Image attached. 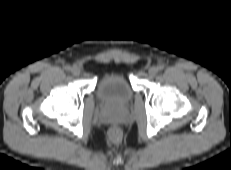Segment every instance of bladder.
I'll list each match as a JSON object with an SVG mask.
<instances>
[{"instance_id":"31cf9c89","label":"bladder","mask_w":231,"mask_h":170,"mask_svg":"<svg viewBox=\"0 0 231 170\" xmlns=\"http://www.w3.org/2000/svg\"><path fill=\"white\" fill-rule=\"evenodd\" d=\"M133 95L129 82L121 73L103 75L96 87L97 99L107 108H126L131 103Z\"/></svg>"}]
</instances>
